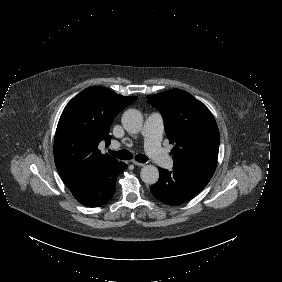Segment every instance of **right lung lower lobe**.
Returning <instances> with one entry per match:
<instances>
[{
	"instance_id": "1",
	"label": "right lung lower lobe",
	"mask_w": 282,
	"mask_h": 282,
	"mask_svg": "<svg viewBox=\"0 0 282 282\" xmlns=\"http://www.w3.org/2000/svg\"><path fill=\"white\" fill-rule=\"evenodd\" d=\"M123 162L109 163L86 174L69 187L73 196L83 205L98 207L106 204L116 191L117 176L126 168Z\"/></svg>"
}]
</instances>
